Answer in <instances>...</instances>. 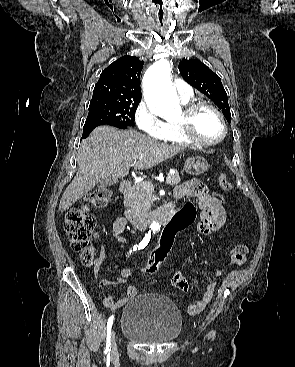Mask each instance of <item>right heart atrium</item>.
Wrapping results in <instances>:
<instances>
[{
	"mask_svg": "<svg viewBox=\"0 0 295 367\" xmlns=\"http://www.w3.org/2000/svg\"><path fill=\"white\" fill-rule=\"evenodd\" d=\"M135 122L140 130L156 139H163L168 131V124L143 101L136 109Z\"/></svg>",
	"mask_w": 295,
	"mask_h": 367,
	"instance_id": "d8ad5b80",
	"label": "right heart atrium"
}]
</instances>
